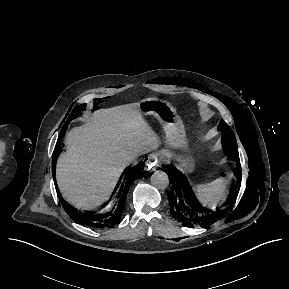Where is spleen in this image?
Segmentation results:
<instances>
[{"label":"spleen","instance_id":"spleen-1","mask_svg":"<svg viewBox=\"0 0 289 289\" xmlns=\"http://www.w3.org/2000/svg\"><path fill=\"white\" fill-rule=\"evenodd\" d=\"M226 187V179L220 177L210 183L196 185L195 193L204 206L215 208L220 201L225 199L227 192Z\"/></svg>","mask_w":289,"mask_h":289}]
</instances>
